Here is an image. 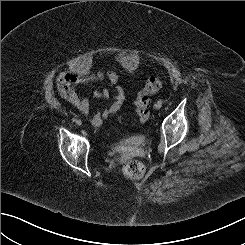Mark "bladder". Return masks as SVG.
<instances>
[{"instance_id": "bladder-1", "label": "bladder", "mask_w": 245, "mask_h": 245, "mask_svg": "<svg viewBox=\"0 0 245 245\" xmlns=\"http://www.w3.org/2000/svg\"><path fill=\"white\" fill-rule=\"evenodd\" d=\"M138 137V135H133L130 139H128L125 142H122L121 144H118V152L120 154H127L129 153L134 147H135V139Z\"/></svg>"}]
</instances>
